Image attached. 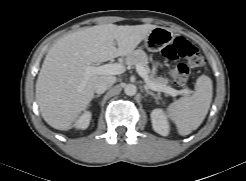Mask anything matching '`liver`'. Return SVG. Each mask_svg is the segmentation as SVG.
<instances>
[{"label":"liver","instance_id":"6515ba94","mask_svg":"<svg viewBox=\"0 0 246 181\" xmlns=\"http://www.w3.org/2000/svg\"><path fill=\"white\" fill-rule=\"evenodd\" d=\"M156 27L103 24L59 39L48 51L36 82L43 119L55 129L69 130L91 102L98 79L108 76L85 77L84 67L130 55Z\"/></svg>","mask_w":246,"mask_h":181}]
</instances>
